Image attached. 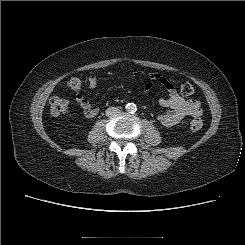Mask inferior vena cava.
I'll return each instance as SVG.
<instances>
[{"instance_id":"obj_1","label":"inferior vena cava","mask_w":245,"mask_h":245,"mask_svg":"<svg viewBox=\"0 0 245 245\" xmlns=\"http://www.w3.org/2000/svg\"><path fill=\"white\" fill-rule=\"evenodd\" d=\"M120 113V110L116 107H109L107 108V110L105 111V114L107 117H113L116 114Z\"/></svg>"}]
</instances>
